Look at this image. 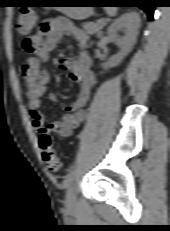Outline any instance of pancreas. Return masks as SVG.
Wrapping results in <instances>:
<instances>
[{
	"instance_id": "cf45deb5",
	"label": "pancreas",
	"mask_w": 170,
	"mask_h": 231,
	"mask_svg": "<svg viewBox=\"0 0 170 231\" xmlns=\"http://www.w3.org/2000/svg\"><path fill=\"white\" fill-rule=\"evenodd\" d=\"M105 24L106 21L101 19L98 20L96 23H92V22L84 23L82 27L86 31V33L92 35L94 33L99 32L104 27Z\"/></svg>"
}]
</instances>
